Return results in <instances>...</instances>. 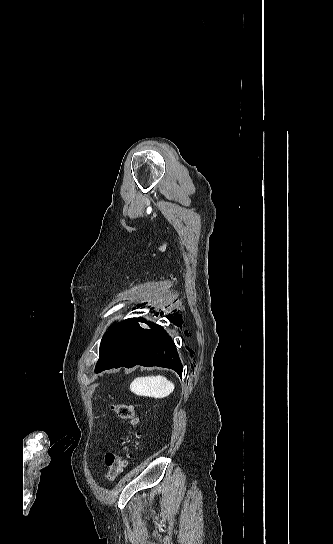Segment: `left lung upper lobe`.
<instances>
[{
    "mask_svg": "<svg viewBox=\"0 0 333 544\" xmlns=\"http://www.w3.org/2000/svg\"><path fill=\"white\" fill-rule=\"evenodd\" d=\"M135 320H139V321H142V322H145L150 328H153L155 327L156 325L150 321H147L145 319H135ZM104 339V338H103ZM106 353H107V349L105 346H102L100 347V355H99V360L97 362V365L101 364L103 362V360L105 359V356H106ZM96 365V366H97Z\"/></svg>",
    "mask_w": 333,
    "mask_h": 544,
    "instance_id": "1",
    "label": "left lung upper lobe"
}]
</instances>
